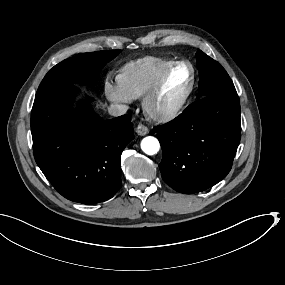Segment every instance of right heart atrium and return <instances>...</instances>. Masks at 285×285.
<instances>
[{"instance_id":"1","label":"right heart atrium","mask_w":285,"mask_h":285,"mask_svg":"<svg viewBox=\"0 0 285 285\" xmlns=\"http://www.w3.org/2000/svg\"><path fill=\"white\" fill-rule=\"evenodd\" d=\"M103 90L106 99L113 105L122 106L133 102V97L124 90L121 84L115 82L111 73L104 80Z\"/></svg>"}]
</instances>
